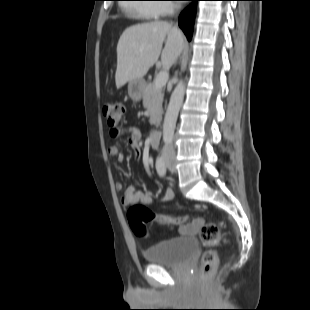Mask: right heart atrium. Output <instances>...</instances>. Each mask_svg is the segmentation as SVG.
<instances>
[{
  "mask_svg": "<svg viewBox=\"0 0 310 310\" xmlns=\"http://www.w3.org/2000/svg\"><path fill=\"white\" fill-rule=\"evenodd\" d=\"M158 2L160 3L156 4L155 7L159 10L160 15L167 14L173 11L174 5L172 3V0H160Z\"/></svg>",
  "mask_w": 310,
  "mask_h": 310,
  "instance_id": "1",
  "label": "right heart atrium"
}]
</instances>
